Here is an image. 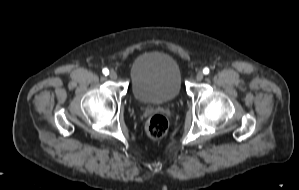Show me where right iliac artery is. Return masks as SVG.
I'll use <instances>...</instances> for the list:
<instances>
[{
    "instance_id": "obj_1",
    "label": "right iliac artery",
    "mask_w": 299,
    "mask_h": 190,
    "mask_svg": "<svg viewBox=\"0 0 299 190\" xmlns=\"http://www.w3.org/2000/svg\"><path fill=\"white\" fill-rule=\"evenodd\" d=\"M102 72H103L104 75H108L109 74V70L107 68H104L102 70Z\"/></svg>"
}]
</instances>
